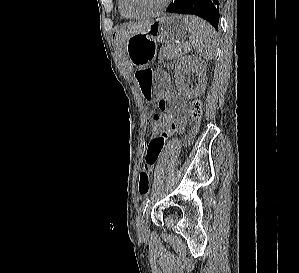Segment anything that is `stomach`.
<instances>
[{
    "label": "stomach",
    "instance_id": "stomach-1",
    "mask_svg": "<svg viewBox=\"0 0 299 273\" xmlns=\"http://www.w3.org/2000/svg\"><path fill=\"white\" fill-rule=\"evenodd\" d=\"M188 27L184 16L165 15L153 21L147 31L132 35L126 44L129 64L137 67L135 72L138 88L144 96V101H165L164 93L168 87V75L162 70H152V61L158 43H173L181 39Z\"/></svg>",
    "mask_w": 299,
    "mask_h": 273
}]
</instances>
